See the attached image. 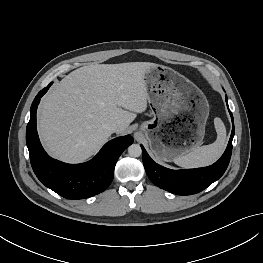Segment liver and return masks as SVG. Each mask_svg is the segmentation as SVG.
Here are the masks:
<instances>
[{
	"label": "liver",
	"mask_w": 263,
	"mask_h": 263,
	"mask_svg": "<svg viewBox=\"0 0 263 263\" xmlns=\"http://www.w3.org/2000/svg\"><path fill=\"white\" fill-rule=\"evenodd\" d=\"M149 62L92 64L72 71L47 94L38 109V131L47 151L69 163L94 155L116 122L123 133L147 108L144 79Z\"/></svg>",
	"instance_id": "liver-1"
}]
</instances>
